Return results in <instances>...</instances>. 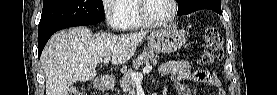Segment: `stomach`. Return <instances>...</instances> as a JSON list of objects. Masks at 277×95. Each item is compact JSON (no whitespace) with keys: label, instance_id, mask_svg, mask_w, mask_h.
I'll use <instances>...</instances> for the list:
<instances>
[{"label":"stomach","instance_id":"0dacf381","mask_svg":"<svg viewBox=\"0 0 277 95\" xmlns=\"http://www.w3.org/2000/svg\"><path fill=\"white\" fill-rule=\"evenodd\" d=\"M185 41V33L174 27L153 31L148 36L150 48L161 53H174L183 46Z\"/></svg>","mask_w":277,"mask_h":95}]
</instances>
